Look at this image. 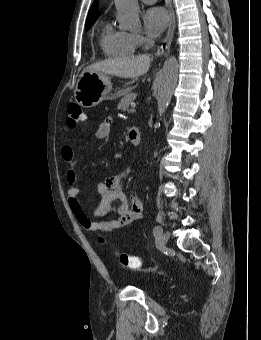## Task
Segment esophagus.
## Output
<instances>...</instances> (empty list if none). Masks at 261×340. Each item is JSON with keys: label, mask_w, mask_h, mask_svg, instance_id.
I'll return each mask as SVG.
<instances>
[{"label": "esophagus", "mask_w": 261, "mask_h": 340, "mask_svg": "<svg viewBox=\"0 0 261 340\" xmlns=\"http://www.w3.org/2000/svg\"><path fill=\"white\" fill-rule=\"evenodd\" d=\"M167 3V8L169 11V15H170V24H169V28L166 34V37L163 41V43L161 44V46L159 47V49L156 52V55L158 57L162 56L165 52L169 51L170 46H171V42L173 39V35H174V30H175V14L171 5V1L170 0H166Z\"/></svg>", "instance_id": "1"}]
</instances>
